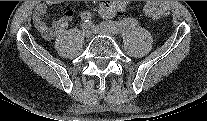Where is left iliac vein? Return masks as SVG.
<instances>
[{
  "instance_id": "1",
  "label": "left iliac vein",
  "mask_w": 207,
  "mask_h": 121,
  "mask_svg": "<svg viewBox=\"0 0 207 121\" xmlns=\"http://www.w3.org/2000/svg\"><path fill=\"white\" fill-rule=\"evenodd\" d=\"M91 28L94 34H102L110 37H113L116 34L113 30L104 26H94L93 24H91Z\"/></svg>"
}]
</instances>
